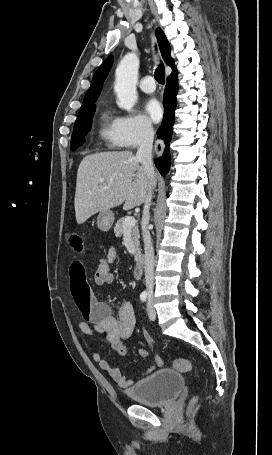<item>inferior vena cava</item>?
<instances>
[{
	"instance_id": "inferior-vena-cava-1",
	"label": "inferior vena cava",
	"mask_w": 272,
	"mask_h": 455,
	"mask_svg": "<svg viewBox=\"0 0 272 455\" xmlns=\"http://www.w3.org/2000/svg\"><path fill=\"white\" fill-rule=\"evenodd\" d=\"M154 131L151 125H145L142 130L139 149L136 153V157L140 160L145 173L153 178L154 167L152 160V148H153ZM152 199V190L148 192L145 200L143 215H142V236L144 242L145 251V283L147 288L148 297H153L154 288V249L151 241V235L147 228L149 223L150 215L149 209Z\"/></svg>"
}]
</instances>
